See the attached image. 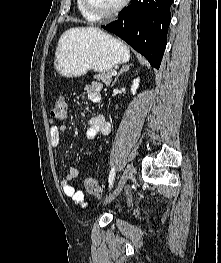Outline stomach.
<instances>
[{
	"instance_id": "0dacf381",
	"label": "stomach",
	"mask_w": 221,
	"mask_h": 263,
	"mask_svg": "<svg viewBox=\"0 0 221 263\" xmlns=\"http://www.w3.org/2000/svg\"><path fill=\"white\" fill-rule=\"evenodd\" d=\"M130 59L127 47L101 30L74 28L58 42L54 68L64 77H81L89 70L107 72Z\"/></svg>"
}]
</instances>
